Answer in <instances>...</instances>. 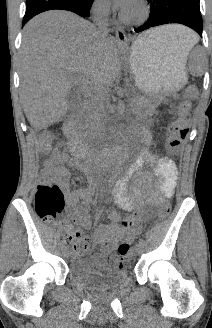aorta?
<instances>
[{
    "label": "aorta",
    "instance_id": "aorta-1",
    "mask_svg": "<svg viewBox=\"0 0 212 328\" xmlns=\"http://www.w3.org/2000/svg\"><path fill=\"white\" fill-rule=\"evenodd\" d=\"M115 163L117 165L121 164V155L119 153L116 155ZM112 172H113L111 174L112 180H120L121 176H123V174H124L122 167H113Z\"/></svg>",
    "mask_w": 212,
    "mask_h": 328
}]
</instances>
